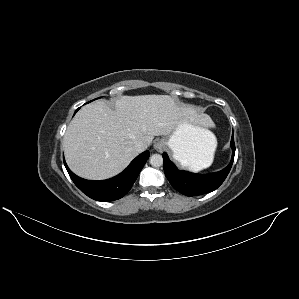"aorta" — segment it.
<instances>
[{"mask_svg":"<svg viewBox=\"0 0 299 299\" xmlns=\"http://www.w3.org/2000/svg\"><path fill=\"white\" fill-rule=\"evenodd\" d=\"M150 164L154 167H160L163 165V157L160 154H153L150 157Z\"/></svg>","mask_w":299,"mask_h":299,"instance_id":"aorta-1","label":"aorta"}]
</instances>
